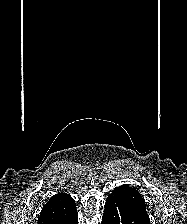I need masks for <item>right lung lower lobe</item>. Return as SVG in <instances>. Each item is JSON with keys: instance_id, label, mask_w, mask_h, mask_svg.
<instances>
[{"instance_id": "1", "label": "right lung lower lobe", "mask_w": 187, "mask_h": 224, "mask_svg": "<svg viewBox=\"0 0 187 224\" xmlns=\"http://www.w3.org/2000/svg\"><path fill=\"white\" fill-rule=\"evenodd\" d=\"M58 224H77V211L75 210L70 217L59 222Z\"/></svg>"}]
</instances>
